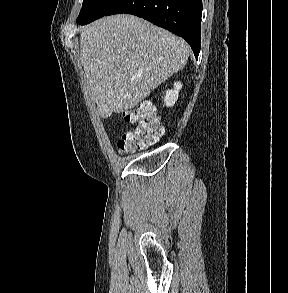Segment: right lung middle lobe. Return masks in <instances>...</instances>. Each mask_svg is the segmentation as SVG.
<instances>
[{
  "mask_svg": "<svg viewBox=\"0 0 288 293\" xmlns=\"http://www.w3.org/2000/svg\"><path fill=\"white\" fill-rule=\"evenodd\" d=\"M122 0H84L77 23L84 25L105 16Z\"/></svg>",
  "mask_w": 288,
  "mask_h": 293,
  "instance_id": "right-lung-middle-lobe-1",
  "label": "right lung middle lobe"
}]
</instances>
